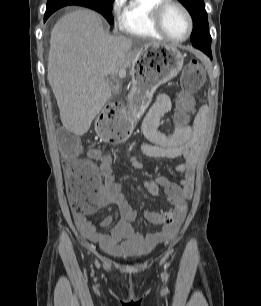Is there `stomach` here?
I'll return each instance as SVG.
<instances>
[{
	"label": "stomach",
	"instance_id": "0dacf381",
	"mask_svg": "<svg viewBox=\"0 0 261 306\" xmlns=\"http://www.w3.org/2000/svg\"><path fill=\"white\" fill-rule=\"evenodd\" d=\"M184 57L171 45H152L142 50L133 61L135 77L128 97L124 118L131 132L149 106L156 89L173 79L182 69Z\"/></svg>",
	"mask_w": 261,
	"mask_h": 306
}]
</instances>
